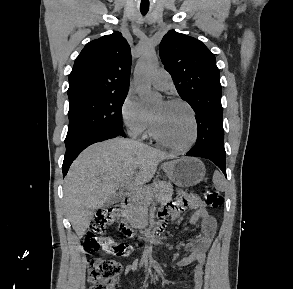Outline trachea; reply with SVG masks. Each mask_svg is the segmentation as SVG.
I'll use <instances>...</instances> for the list:
<instances>
[{"mask_svg":"<svg viewBox=\"0 0 293 289\" xmlns=\"http://www.w3.org/2000/svg\"><path fill=\"white\" fill-rule=\"evenodd\" d=\"M142 15H146L148 12V9H140Z\"/></svg>","mask_w":293,"mask_h":289,"instance_id":"trachea-1","label":"trachea"}]
</instances>
